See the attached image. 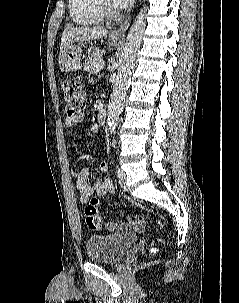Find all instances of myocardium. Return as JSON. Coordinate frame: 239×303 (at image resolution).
I'll list each match as a JSON object with an SVG mask.
<instances>
[{
  "mask_svg": "<svg viewBox=\"0 0 239 303\" xmlns=\"http://www.w3.org/2000/svg\"><path fill=\"white\" fill-rule=\"evenodd\" d=\"M103 14L113 18L117 16L115 8L111 5L109 0H98Z\"/></svg>",
  "mask_w": 239,
  "mask_h": 303,
  "instance_id": "myocardium-1",
  "label": "myocardium"
}]
</instances>
